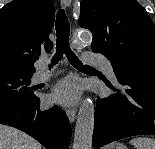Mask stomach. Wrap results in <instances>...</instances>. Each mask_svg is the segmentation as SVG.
I'll use <instances>...</instances> for the list:
<instances>
[{"instance_id": "stomach-1", "label": "stomach", "mask_w": 155, "mask_h": 149, "mask_svg": "<svg viewBox=\"0 0 155 149\" xmlns=\"http://www.w3.org/2000/svg\"><path fill=\"white\" fill-rule=\"evenodd\" d=\"M109 149H127V148L121 143H115Z\"/></svg>"}]
</instances>
